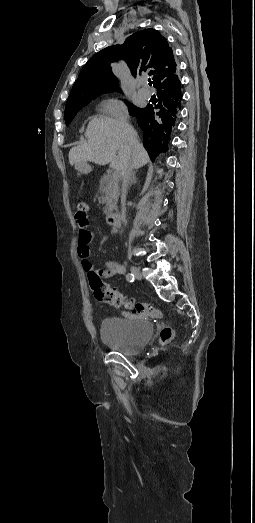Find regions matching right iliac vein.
<instances>
[{"label":"right iliac vein","mask_w":255,"mask_h":523,"mask_svg":"<svg viewBox=\"0 0 255 523\" xmlns=\"http://www.w3.org/2000/svg\"><path fill=\"white\" fill-rule=\"evenodd\" d=\"M131 272L134 275V277H136L137 279L142 278V274H141L139 268H137L136 266H131Z\"/></svg>","instance_id":"63e3f726"}]
</instances>
